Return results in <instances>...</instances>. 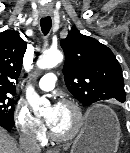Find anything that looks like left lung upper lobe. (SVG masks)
<instances>
[{
	"mask_svg": "<svg viewBox=\"0 0 130 153\" xmlns=\"http://www.w3.org/2000/svg\"><path fill=\"white\" fill-rule=\"evenodd\" d=\"M61 47L64 80L77 100L86 106L111 98L125 101L121 66L107 46L72 28Z\"/></svg>",
	"mask_w": 130,
	"mask_h": 153,
	"instance_id": "1",
	"label": "left lung upper lobe"
}]
</instances>
